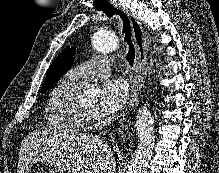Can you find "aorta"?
<instances>
[{
	"label": "aorta",
	"instance_id": "1",
	"mask_svg": "<svg viewBox=\"0 0 219 173\" xmlns=\"http://www.w3.org/2000/svg\"><path fill=\"white\" fill-rule=\"evenodd\" d=\"M92 46L97 52L109 53L118 49L119 38L110 30L99 29L92 37ZM89 91L93 92L95 89L89 87ZM135 126L139 144L128 164L126 173H145L154 147V120L146 107L137 111Z\"/></svg>",
	"mask_w": 219,
	"mask_h": 173
}]
</instances>
